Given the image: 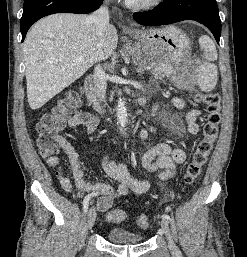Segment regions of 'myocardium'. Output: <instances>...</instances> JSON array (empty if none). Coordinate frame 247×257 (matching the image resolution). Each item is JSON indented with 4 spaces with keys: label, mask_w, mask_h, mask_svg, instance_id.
Returning <instances> with one entry per match:
<instances>
[{
    "label": "myocardium",
    "mask_w": 247,
    "mask_h": 257,
    "mask_svg": "<svg viewBox=\"0 0 247 257\" xmlns=\"http://www.w3.org/2000/svg\"><path fill=\"white\" fill-rule=\"evenodd\" d=\"M163 0H142V1H127L128 7L139 11H149L161 5Z\"/></svg>",
    "instance_id": "myocardium-1"
}]
</instances>
